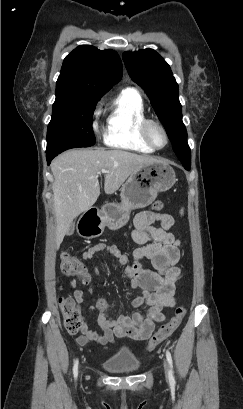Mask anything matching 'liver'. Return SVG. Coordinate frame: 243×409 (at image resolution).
<instances>
[{
	"instance_id": "liver-1",
	"label": "liver",
	"mask_w": 243,
	"mask_h": 409,
	"mask_svg": "<svg viewBox=\"0 0 243 409\" xmlns=\"http://www.w3.org/2000/svg\"><path fill=\"white\" fill-rule=\"evenodd\" d=\"M156 159L123 150L73 149L51 163L54 176L53 199L56 221V248L75 218L95 204L100 195L98 174L102 169L104 191L113 194L139 167Z\"/></svg>"
}]
</instances>
